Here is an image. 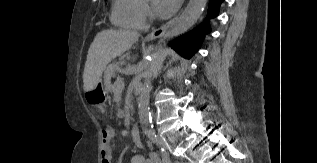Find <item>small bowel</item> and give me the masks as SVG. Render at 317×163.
Listing matches in <instances>:
<instances>
[{
	"instance_id": "1",
	"label": "small bowel",
	"mask_w": 317,
	"mask_h": 163,
	"mask_svg": "<svg viewBox=\"0 0 317 163\" xmlns=\"http://www.w3.org/2000/svg\"><path fill=\"white\" fill-rule=\"evenodd\" d=\"M102 142L104 148L100 153V163H111L112 151L109 147V143L114 137V130L112 128H105L101 133ZM131 163H161L155 155H152L150 158H145L142 155H136L131 159Z\"/></svg>"
}]
</instances>
